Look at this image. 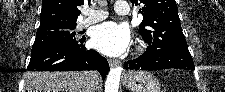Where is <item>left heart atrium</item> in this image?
I'll list each match as a JSON object with an SVG mask.
<instances>
[{"label":"left heart atrium","mask_w":225,"mask_h":92,"mask_svg":"<svg viewBox=\"0 0 225 92\" xmlns=\"http://www.w3.org/2000/svg\"><path fill=\"white\" fill-rule=\"evenodd\" d=\"M129 41L128 28L124 24L111 21L96 26L91 34L93 47L108 56L123 53L128 47Z\"/></svg>","instance_id":"39dd6f15"}]
</instances>
